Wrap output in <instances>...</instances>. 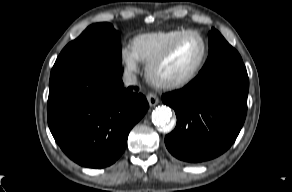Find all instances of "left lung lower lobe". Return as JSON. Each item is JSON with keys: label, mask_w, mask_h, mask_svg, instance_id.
<instances>
[{"label": "left lung lower lobe", "mask_w": 292, "mask_h": 192, "mask_svg": "<svg viewBox=\"0 0 292 192\" xmlns=\"http://www.w3.org/2000/svg\"><path fill=\"white\" fill-rule=\"evenodd\" d=\"M248 89L246 68H228L198 75L184 88L163 95L177 116L176 128L165 137L169 152L197 163L228 150L246 117Z\"/></svg>", "instance_id": "obj_1"}]
</instances>
